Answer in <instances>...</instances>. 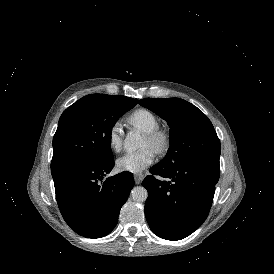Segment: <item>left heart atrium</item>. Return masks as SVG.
Wrapping results in <instances>:
<instances>
[{
    "mask_svg": "<svg viewBox=\"0 0 274 274\" xmlns=\"http://www.w3.org/2000/svg\"><path fill=\"white\" fill-rule=\"evenodd\" d=\"M154 155V151L150 147L128 152L117 158L116 167L122 172L138 173L153 163Z\"/></svg>",
    "mask_w": 274,
    "mask_h": 274,
    "instance_id": "obj_1",
    "label": "left heart atrium"
}]
</instances>
